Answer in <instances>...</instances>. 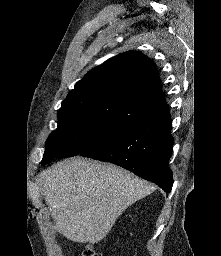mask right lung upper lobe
<instances>
[{
    "label": "right lung upper lobe",
    "mask_w": 221,
    "mask_h": 256,
    "mask_svg": "<svg viewBox=\"0 0 221 256\" xmlns=\"http://www.w3.org/2000/svg\"><path fill=\"white\" fill-rule=\"evenodd\" d=\"M106 105L144 115V121L168 112L155 64L136 51L112 57L76 83L58 112Z\"/></svg>",
    "instance_id": "right-lung-upper-lobe-1"
}]
</instances>
